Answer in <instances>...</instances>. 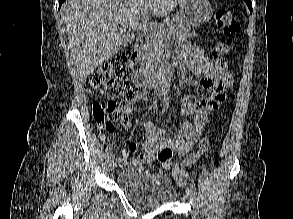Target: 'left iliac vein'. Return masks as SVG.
Here are the masks:
<instances>
[{
	"instance_id": "obj_1",
	"label": "left iliac vein",
	"mask_w": 293,
	"mask_h": 219,
	"mask_svg": "<svg viewBox=\"0 0 293 219\" xmlns=\"http://www.w3.org/2000/svg\"><path fill=\"white\" fill-rule=\"evenodd\" d=\"M186 197H187L189 200H192V191H191L190 187H187V188H186ZM192 215H193V218L196 219V211H193V212H192Z\"/></svg>"
}]
</instances>
